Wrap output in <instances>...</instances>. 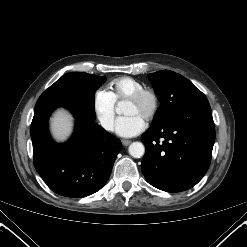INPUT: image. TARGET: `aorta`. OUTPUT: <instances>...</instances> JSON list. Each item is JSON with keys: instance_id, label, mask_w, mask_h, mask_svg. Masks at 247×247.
Returning a JSON list of instances; mask_svg holds the SVG:
<instances>
[{"instance_id": "762f6f07", "label": "aorta", "mask_w": 247, "mask_h": 247, "mask_svg": "<svg viewBox=\"0 0 247 247\" xmlns=\"http://www.w3.org/2000/svg\"><path fill=\"white\" fill-rule=\"evenodd\" d=\"M128 150L129 154L134 158H141L145 153V147L141 142H133Z\"/></svg>"}]
</instances>
